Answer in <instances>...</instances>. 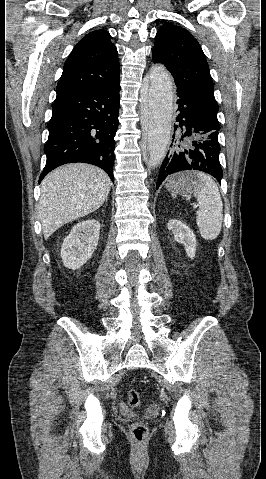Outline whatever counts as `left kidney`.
Returning a JSON list of instances; mask_svg holds the SVG:
<instances>
[{
	"mask_svg": "<svg viewBox=\"0 0 266 479\" xmlns=\"http://www.w3.org/2000/svg\"><path fill=\"white\" fill-rule=\"evenodd\" d=\"M167 227L172 231L174 240L183 244L187 256L193 259L196 252V236L192 230L186 224L177 219L170 220Z\"/></svg>",
	"mask_w": 266,
	"mask_h": 479,
	"instance_id": "5707ae66",
	"label": "left kidney"
}]
</instances>
